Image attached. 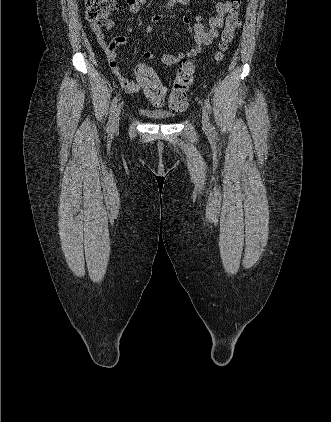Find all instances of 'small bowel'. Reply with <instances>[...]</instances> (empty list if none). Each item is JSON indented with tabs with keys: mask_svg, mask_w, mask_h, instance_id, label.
<instances>
[{
	"mask_svg": "<svg viewBox=\"0 0 331 422\" xmlns=\"http://www.w3.org/2000/svg\"><path fill=\"white\" fill-rule=\"evenodd\" d=\"M128 6L130 13L129 21L133 22L134 17L140 12L142 5H144L147 0H125ZM179 3L183 6L194 7L192 0H176L174 2H165L160 6V11L152 17V23H158L162 19L169 18L174 19V15H164L163 11L168 9L172 4ZM231 7L230 0L217 2L215 5V14L209 17L207 24H203V17L201 14H197L195 17V23L193 26H189V31L192 34L194 40V46L187 51L179 52L175 54L165 53L160 56V59L163 64L167 66L179 65L186 59H194L201 51L202 48L206 45L212 43V41L218 36V29L223 25L225 15L228 13ZM180 19L183 23L189 25L190 19L187 16H181ZM105 27L108 30H111L114 27L113 20H107L105 22ZM91 30L96 37V40L99 46L104 50L109 66L116 76L120 86L126 93H138L143 90L142 84L137 80L133 81L126 78L119 69L117 62V52L123 47L126 43V35L132 32V27L129 26L126 28L124 35H119L113 38L110 42L106 41L105 35L101 29V26L96 24H91ZM145 33L150 35L152 33V27L146 26ZM143 57L146 59H153L155 55L148 50L143 52ZM163 101L154 102L155 104H161Z\"/></svg>",
	"mask_w": 331,
	"mask_h": 422,
	"instance_id": "obj_1",
	"label": "small bowel"
}]
</instances>
